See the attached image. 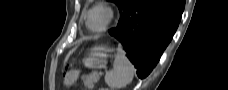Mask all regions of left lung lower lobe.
I'll return each mask as SVG.
<instances>
[{"label": "left lung lower lobe", "instance_id": "left-lung-lower-lobe-1", "mask_svg": "<svg viewBox=\"0 0 228 90\" xmlns=\"http://www.w3.org/2000/svg\"><path fill=\"white\" fill-rule=\"evenodd\" d=\"M184 6V0H129L117 27L109 30L125 47L140 78H145L159 61Z\"/></svg>", "mask_w": 228, "mask_h": 90}]
</instances>
